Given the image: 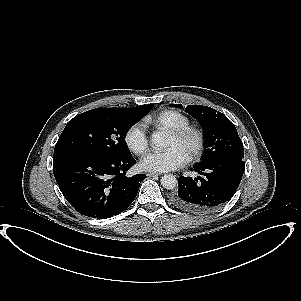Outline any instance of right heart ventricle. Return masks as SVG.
<instances>
[{
	"instance_id": "right-heart-ventricle-1",
	"label": "right heart ventricle",
	"mask_w": 301,
	"mask_h": 301,
	"mask_svg": "<svg viewBox=\"0 0 301 301\" xmlns=\"http://www.w3.org/2000/svg\"><path fill=\"white\" fill-rule=\"evenodd\" d=\"M153 123L157 130L162 131L179 130L189 127L188 118L174 111L162 113Z\"/></svg>"
}]
</instances>
